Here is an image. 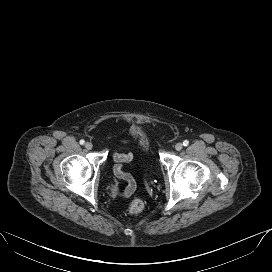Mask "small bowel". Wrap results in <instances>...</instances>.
<instances>
[{"mask_svg": "<svg viewBox=\"0 0 272 272\" xmlns=\"http://www.w3.org/2000/svg\"><path fill=\"white\" fill-rule=\"evenodd\" d=\"M130 139L128 138H122L120 140L121 143L123 144H127L129 143ZM134 157V153L133 152H127V153H114L113 154V158L116 162L115 166H114V174L118 177L123 179L124 181H126L127 183V187L125 188V190L123 191V193H119L116 189H114V194L115 195H122L124 197H129L135 188V182L134 179L132 178V176L125 172L123 170V165L125 163L130 162Z\"/></svg>", "mask_w": 272, "mask_h": 272, "instance_id": "1", "label": "small bowel"}]
</instances>
